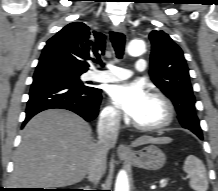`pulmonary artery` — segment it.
I'll return each mask as SVG.
<instances>
[{"mask_svg":"<svg viewBox=\"0 0 218 191\" xmlns=\"http://www.w3.org/2000/svg\"><path fill=\"white\" fill-rule=\"evenodd\" d=\"M146 68V60L138 58L135 63L137 72L143 71ZM133 73L125 68L109 65L106 71L90 72L87 79L96 82H118L130 78Z\"/></svg>","mask_w":218,"mask_h":191,"instance_id":"1","label":"pulmonary artery"}]
</instances>
